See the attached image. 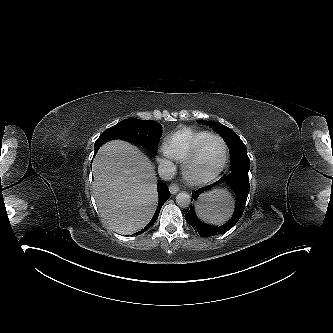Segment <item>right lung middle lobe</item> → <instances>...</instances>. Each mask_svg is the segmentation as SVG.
<instances>
[{
    "label": "right lung middle lobe",
    "mask_w": 333,
    "mask_h": 333,
    "mask_svg": "<svg viewBox=\"0 0 333 333\" xmlns=\"http://www.w3.org/2000/svg\"><path fill=\"white\" fill-rule=\"evenodd\" d=\"M105 131L137 143L154 155L157 153V146L163 132L158 122L139 119H125Z\"/></svg>",
    "instance_id": "dd1d6c3e"
}]
</instances>
